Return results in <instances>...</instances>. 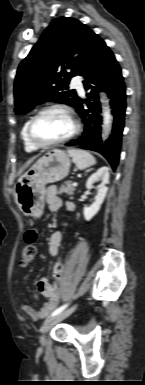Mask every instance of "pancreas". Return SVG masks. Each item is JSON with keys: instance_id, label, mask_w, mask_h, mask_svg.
Here are the masks:
<instances>
[{"instance_id": "cf45deb5", "label": "pancreas", "mask_w": 145, "mask_h": 385, "mask_svg": "<svg viewBox=\"0 0 145 385\" xmlns=\"http://www.w3.org/2000/svg\"><path fill=\"white\" fill-rule=\"evenodd\" d=\"M75 191V187L72 185L71 182H67L66 185H62L59 188V194H66V195H73Z\"/></svg>"}]
</instances>
